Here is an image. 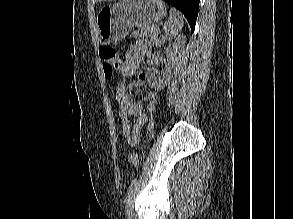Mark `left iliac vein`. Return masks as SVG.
I'll use <instances>...</instances> for the list:
<instances>
[{
    "mask_svg": "<svg viewBox=\"0 0 293 219\" xmlns=\"http://www.w3.org/2000/svg\"><path fill=\"white\" fill-rule=\"evenodd\" d=\"M132 201H133V198L131 196L130 198H128V200L126 202L125 212H126L127 219H133L134 218V211H133V207H132Z\"/></svg>",
    "mask_w": 293,
    "mask_h": 219,
    "instance_id": "left-iliac-vein-1",
    "label": "left iliac vein"
}]
</instances>
